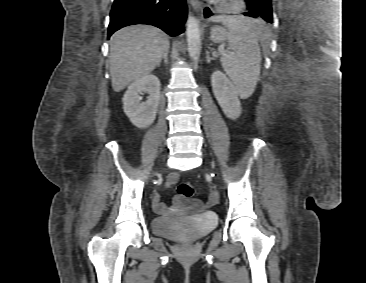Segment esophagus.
Masks as SVG:
<instances>
[{
	"instance_id": "esophagus-1",
	"label": "esophagus",
	"mask_w": 366,
	"mask_h": 283,
	"mask_svg": "<svg viewBox=\"0 0 366 283\" xmlns=\"http://www.w3.org/2000/svg\"><path fill=\"white\" fill-rule=\"evenodd\" d=\"M192 7L198 12L201 8V2L199 0H189Z\"/></svg>"
}]
</instances>
